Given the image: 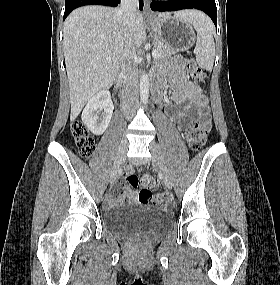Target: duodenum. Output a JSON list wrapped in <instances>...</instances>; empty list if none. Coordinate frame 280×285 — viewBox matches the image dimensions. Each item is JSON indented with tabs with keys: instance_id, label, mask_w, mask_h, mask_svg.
Listing matches in <instances>:
<instances>
[{
	"instance_id": "duodenum-1",
	"label": "duodenum",
	"mask_w": 280,
	"mask_h": 285,
	"mask_svg": "<svg viewBox=\"0 0 280 285\" xmlns=\"http://www.w3.org/2000/svg\"><path fill=\"white\" fill-rule=\"evenodd\" d=\"M152 95L155 100H159L162 95V87L159 83L152 84Z\"/></svg>"
}]
</instances>
